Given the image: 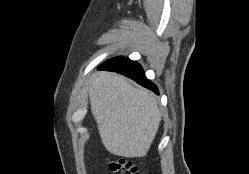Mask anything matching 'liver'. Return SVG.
I'll return each instance as SVG.
<instances>
[{
	"label": "liver",
	"mask_w": 249,
	"mask_h": 174,
	"mask_svg": "<svg viewBox=\"0 0 249 174\" xmlns=\"http://www.w3.org/2000/svg\"><path fill=\"white\" fill-rule=\"evenodd\" d=\"M89 98L102 143L111 154L135 158L148 153L161 121L148 91L103 71L93 76Z\"/></svg>",
	"instance_id": "obj_1"
}]
</instances>
